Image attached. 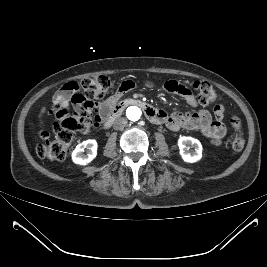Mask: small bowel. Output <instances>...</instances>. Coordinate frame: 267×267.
<instances>
[{
  "mask_svg": "<svg viewBox=\"0 0 267 267\" xmlns=\"http://www.w3.org/2000/svg\"><path fill=\"white\" fill-rule=\"evenodd\" d=\"M135 87V81L125 80L119 85L114 94L104 102L97 104L92 101L80 100L78 98V84L69 82L55 93L54 102L67 111L72 110L74 115L78 117L92 120L91 124H87L82 128V132L87 133L91 126H98L104 120L109 111L125 93ZM161 87L167 93L182 97L192 107L198 104L195 94L185 84L175 80H168ZM163 113L165 114L164 123L170 130L178 131L181 128L197 130L214 144H220L227 132L226 126L222 122L224 116V107L222 105L216 106L214 117L205 109H200L193 113L177 111L172 112L170 115Z\"/></svg>",
  "mask_w": 267,
  "mask_h": 267,
  "instance_id": "c3829d8e",
  "label": "small bowel"
}]
</instances>
